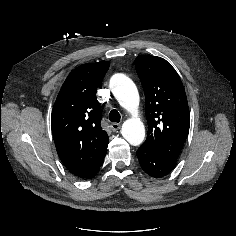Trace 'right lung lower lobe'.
<instances>
[{
  "label": "right lung lower lobe",
  "instance_id": "right-lung-lower-lobe-1",
  "mask_svg": "<svg viewBox=\"0 0 236 236\" xmlns=\"http://www.w3.org/2000/svg\"><path fill=\"white\" fill-rule=\"evenodd\" d=\"M98 171H96L95 173H93L88 179H91L93 178L96 174H97Z\"/></svg>",
  "mask_w": 236,
  "mask_h": 236
}]
</instances>
